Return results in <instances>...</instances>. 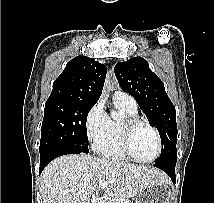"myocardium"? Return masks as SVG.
Masks as SVG:
<instances>
[{"instance_id": "obj_1", "label": "myocardium", "mask_w": 214, "mask_h": 203, "mask_svg": "<svg viewBox=\"0 0 214 203\" xmlns=\"http://www.w3.org/2000/svg\"><path fill=\"white\" fill-rule=\"evenodd\" d=\"M139 126L148 127L149 129L152 130V132L155 135L157 149H156L155 155L150 159H146V160L139 159L133 154V152L131 150V145H130L131 135H132L133 131ZM121 146H122L123 152L129 159H131L137 163L149 164V163H153L154 161H156L159 158L161 151H162V140H161V136H160L158 130L149 122L139 119V118H126L122 122Z\"/></svg>"}]
</instances>
